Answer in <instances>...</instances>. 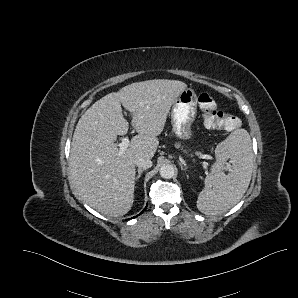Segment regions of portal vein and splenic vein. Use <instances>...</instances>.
I'll return each mask as SVG.
<instances>
[{
    "label": "portal vein and splenic vein",
    "mask_w": 298,
    "mask_h": 298,
    "mask_svg": "<svg viewBox=\"0 0 298 298\" xmlns=\"http://www.w3.org/2000/svg\"><path fill=\"white\" fill-rule=\"evenodd\" d=\"M131 145V142L129 140V138L125 137L124 139H122L121 143L119 144V151L117 152V157L121 158L123 156V154L126 152L127 148H129ZM199 159H208L210 158V156L205 155V154H201L198 156Z\"/></svg>",
    "instance_id": "18ae733b"
}]
</instances>
